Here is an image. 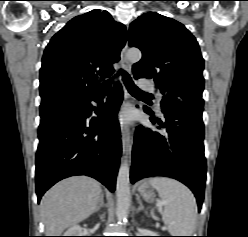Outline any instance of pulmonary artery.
<instances>
[{"label": "pulmonary artery", "instance_id": "pulmonary-artery-1", "mask_svg": "<svg viewBox=\"0 0 248 237\" xmlns=\"http://www.w3.org/2000/svg\"><path fill=\"white\" fill-rule=\"evenodd\" d=\"M139 87L142 89H150V90L153 89V87H152V85L148 79H141L139 81Z\"/></svg>", "mask_w": 248, "mask_h": 237}]
</instances>
